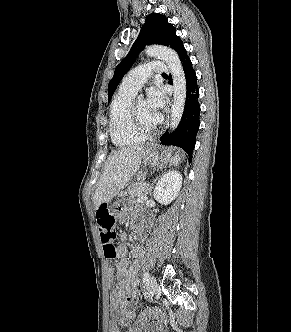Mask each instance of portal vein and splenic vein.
Returning <instances> with one entry per match:
<instances>
[{
	"instance_id": "obj_1",
	"label": "portal vein and splenic vein",
	"mask_w": 291,
	"mask_h": 332,
	"mask_svg": "<svg viewBox=\"0 0 291 332\" xmlns=\"http://www.w3.org/2000/svg\"><path fill=\"white\" fill-rule=\"evenodd\" d=\"M142 200H144V198H143V197H141V198H138V202H141Z\"/></svg>"
}]
</instances>
